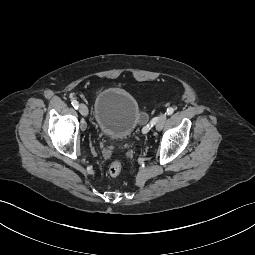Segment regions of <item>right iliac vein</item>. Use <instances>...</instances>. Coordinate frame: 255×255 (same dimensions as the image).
Masks as SVG:
<instances>
[{
    "instance_id": "1",
    "label": "right iliac vein",
    "mask_w": 255,
    "mask_h": 255,
    "mask_svg": "<svg viewBox=\"0 0 255 255\" xmlns=\"http://www.w3.org/2000/svg\"><path fill=\"white\" fill-rule=\"evenodd\" d=\"M79 112L81 113V115L83 116H87L88 115V108L85 104L81 103L78 106Z\"/></svg>"
}]
</instances>
